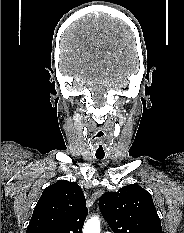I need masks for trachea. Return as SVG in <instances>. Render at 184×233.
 Returning a JSON list of instances; mask_svg holds the SVG:
<instances>
[{
	"instance_id": "obj_1",
	"label": "trachea",
	"mask_w": 184,
	"mask_h": 233,
	"mask_svg": "<svg viewBox=\"0 0 184 233\" xmlns=\"http://www.w3.org/2000/svg\"><path fill=\"white\" fill-rule=\"evenodd\" d=\"M105 133L102 130H98L93 138L95 139L94 154L98 160H102L105 157L106 149L104 145Z\"/></svg>"
}]
</instances>
